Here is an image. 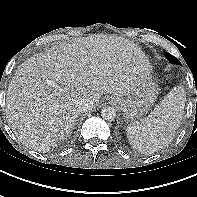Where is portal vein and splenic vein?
Listing matches in <instances>:
<instances>
[{
	"label": "portal vein and splenic vein",
	"instance_id": "18ae733b",
	"mask_svg": "<svg viewBox=\"0 0 197 197\" xmlns=\"http://www.w3.org/2000/svg\"><path fill=\"white\" fill-rule=\"evenodd\" d=\"M50 84H51L53 87H55V89L58 91L57 94L60 95L62 89H61L58 85H56V84H54V83H52V82H50Z\"/></svg>",
	"mask_w": 197,
	"mask_h": 197
}]
</instances>
